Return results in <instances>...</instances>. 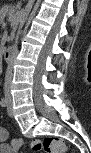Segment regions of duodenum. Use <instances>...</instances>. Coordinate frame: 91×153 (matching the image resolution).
I'll return each instance as SVG.
<instances>
[{
  "label": "duodenum",
  "instance_id": "410a0bca",
  "mask_svg": "<svg viewBox=\"0 0 91 153\" xmlns=\"http://www.w3.org/2000/svg\"><path fill=\"white\" fill-rule=\"evenodd\" d=\"M15 54V49L13 47H7L3 53V60L6 64H9L13 60Z\"/></svg>",
  "mask_w": 91,
  "mask_h": 153
}]
</instances>
